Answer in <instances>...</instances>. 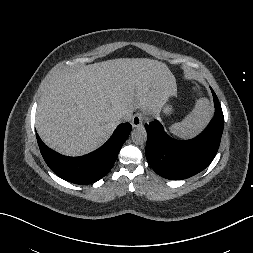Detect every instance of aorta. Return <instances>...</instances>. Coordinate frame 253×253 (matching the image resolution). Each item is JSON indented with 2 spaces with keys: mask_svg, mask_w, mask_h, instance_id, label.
<instances>
[{
  "mask_svg": "<svg viewBox=\"0 0 253 253\" xmlns=\"http://www.w3.org/2000/svg\"><path fill=\"white\" fill-rule=\"evenodd\" d=\"M132 141L137 145H142L147 141V132L144 127H137L131 133Z\"/></svg>",
  "mask_w": 253,
  "mask_h": 253,
  "instance_id": "aorta-1",
  "label": "aorta"
}]
</instances>
